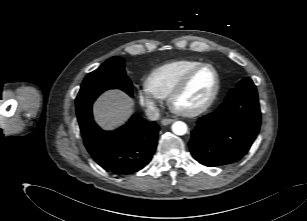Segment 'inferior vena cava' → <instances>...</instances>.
<instances>
[{"mask_svg":"<svg viewBox=\"0 0 307 221\" xmlns=\"http://www.w3.org/2000/svg\"><path fill=\"white\" fill-rule=\"evenodd\" d=\"M146 115L150 120L155 121L160 116L159 109L157 107H154V106L150 107V108L146 109Z\"/></svg>","mask_w":307,"mask_h":221,"instance_id":"1","label":"inferior vena cava"}]
</instances>
